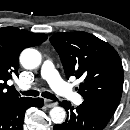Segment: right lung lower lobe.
<instances>
[{"mask_svg": "<svg viewBox=\"0 0 130 130\" xmlns=\"http://www.w3.org/2000/svg\"><path fill=\"white\" fill-rule=\"evenodd\" d=\"M42 98H18L0 102V130H22L25 111L30 107L41 108Z\"/></svg>", "mask_w": 130, "mask_h": 130, "instance_id": "obj_1", "label": "right lung lower lobe"}]
</instances>
